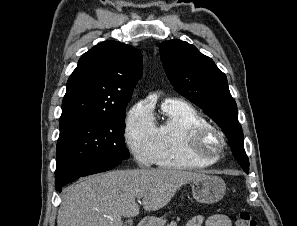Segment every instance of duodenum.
Returning <instances> with one entry per match:
<instances>
[{"instance_id":"duodenum-1","label":"duodenum","mask_w":297,"mask_h":226,"mask_svg":"<svg viewBox=\"0 0 297 226\" xmlns=\"http://www.w3.org/2000/svg\"><path fill=\"white\" fill-rule=\"evenodd\" d=\"M137 226H151V221L150 220H141Z\"/></svg>"}]
</instances>
